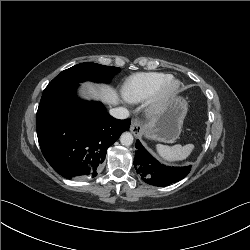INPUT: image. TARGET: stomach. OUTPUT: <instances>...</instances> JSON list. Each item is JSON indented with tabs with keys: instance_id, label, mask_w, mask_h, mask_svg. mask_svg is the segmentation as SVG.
I'll list each match as a JSON object with an SVG mask.
<instances>
[{
	"instance_id": "stomach-1",
	"label": "stomach",
	"mask_w": 250,
	"mask_h": 250,
	"mask_svg": "<svg viewBox=\"0 0 250 250\" xmlns=\"http://www.w3.org/2000/svg\"><path fill=\"white\" fill-rule=\"evenodd\" d=\"M187 106L184 98H171L161 107L157 116L143 127L142 134L149 139L173 143L181 133Z\"/></svg>"
}]
</instances>
